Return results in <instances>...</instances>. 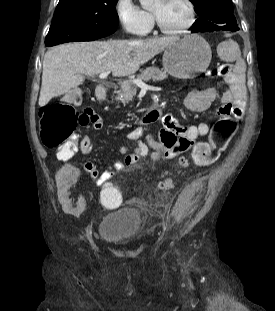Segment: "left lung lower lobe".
I'll return each mask as SVG.
<instances>
[{
  "instance_id": "1",
  "label": "left lung lower lobe",
  "mask_w": 275,
  "mask_h": 311,
  "mask_svg": "<svg viewBox=\"0 0 275 311\" xmlns=\"http://www.w3.org/2000/svg\"><path fill=\"white\" fill-rule=\"evenodd\" d=\"M192 32H198V31H196L195 29H192Z\"/></svg>"
}]
</instances>
